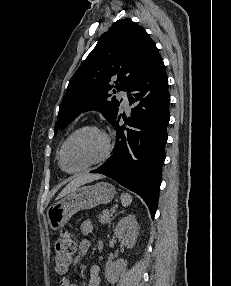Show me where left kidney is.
<instances>
[{"label":"left kidney","instance_id":"5707ae66","mask_svg":"<svg viewBox=\"0 0 231 286\" xmlns=\"http://www.w3.org/2000/svg\"><path fill=\"white\" fill-rule=\"evenodd\" d=\"M138 223L135 215L130 214L118 222L115 227L114 233L115 236L123 243L127 248H133L136 239L138 237ZM127 261L124 259H119L116 262L107 261L105 266V277L108 282L114 284L121 273L126 270Z\"/></svg>","mask_w":231,"mask_h":286}]
</instances>
